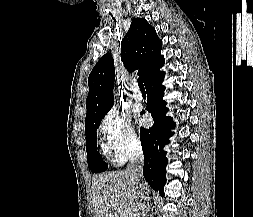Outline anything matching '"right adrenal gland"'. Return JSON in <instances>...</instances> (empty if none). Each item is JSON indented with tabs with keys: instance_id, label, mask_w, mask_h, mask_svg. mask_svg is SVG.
<instances>
[{
	"instance_id": "1",
	"label": "right adrenal gland",
	"mask_w": 253,
	"mask_h": 217,
	"mask_svg": "<svg viewBox=\"0 0 253 217\" xmlns=\"http://www.w3.org/2000/svg\"><path fill=\"white\" fill-rule=\"evenodd\" d=\"M148 212H149V209H148V207H147V215H146V217H148Z\"/></svg>"
}]
</instances>
